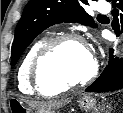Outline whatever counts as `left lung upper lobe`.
Masks as SVG:
<instances>
[{"mask_svg": "<svg viewBox=\"0 0 123 113\" xmlns=\"http://www.w3.org/2000/svg\"><path fill=\"white\" fill-rule=\"evenodd\" d=\"M85 4H88L87 0H30L16 27L11 66L16 64L22 52L35 37L51 25L61 22H79L96 27L92 17L84 10Z\"/></svg>", "mask_w": 123, "mask_h": 113, "instance_id": "1", "label": "left lung upper lobe"}]
</instances>
